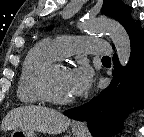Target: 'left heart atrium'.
<instances>
[{
  "instance_id": "1",
  "label": "left heart atrium",
  "mask_w": 144,
  "mask_h": 137,
  "mask_svg": "<svg viewBox=\"0 0 144 137\" xmlns=\"http://www.w3.org/2000/svg\"><path fill=\"white\" fill-rule=\"evenodd\" d=\"M93 71L87 65H81L70 71L69 89L72 96H82L89 92L93 85Z\"/></svg>"
}]
</instances>
